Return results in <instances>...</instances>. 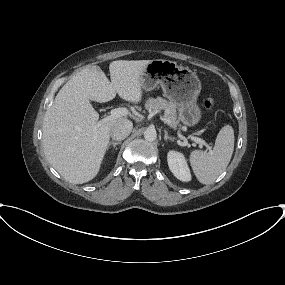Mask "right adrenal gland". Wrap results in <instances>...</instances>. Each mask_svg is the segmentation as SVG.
Returning a JSON list of instances; mask_svg holds the SVG:
<instances>
[{"instance_id":"1","label":"right adrenal gland","mask_w":285,"mask_h":285,"mask_svg":"<svg viewBox=\"0 0 285 285\" xmlns=\"http://www.w3.org/2000/svg\"><path fill=\"white\" fill-rule=\"evenodd\" d=\"M122 142L121 141H111L109 142L108 146H107V151L109 150L110 146H113V148H115L117 145L121 144Z\"/></svg>"}]
</instances>
